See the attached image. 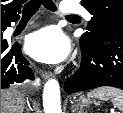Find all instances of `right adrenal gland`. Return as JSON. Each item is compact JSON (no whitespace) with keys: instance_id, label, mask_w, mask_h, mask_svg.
<instances>
[{"instance_id":"obj_1","label":"right adrenal gland","mask_w":123,"mask_h":113,"mask_svg":"<svg viewBox=\"0 0 123 113\" xmlns=\"http://www.w3.org/2000/svg\"><path fill=\"white\" fill-rule=\"evenodd\" d=\"M27 113H31L32 108L30 107V105H28L27 109H26Z\"/></svg>"}]
</instances>
